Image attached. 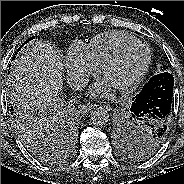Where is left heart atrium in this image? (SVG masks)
Segmentation results:
<instances>
[{
  "label": "left heart atrium",
  "mask_w": 184,
  "mask_h": 184,
  "mask_svg": "<svg viewBox=\"0 0 184 184\" xmlns=\"http://www.w3.org/2000/svg\"><path fill=\"white\" fill-rule=\"evenodd\" d=\"M109 90V84L105 80L97 81L91 87V94L94 96L105 95Z\"/></svg>",
  "instance_id": "obj_1"
}]
</instances>
